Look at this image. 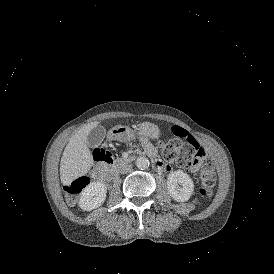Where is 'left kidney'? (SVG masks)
Returning <instances> with one entry per match:
<instances>
[{"label": "left kidney", "instance_id": "obj_1", "mask_svg": "<svg viewBox=\"0 0 274 274\" xmlns=\"http://www.w3.org/2000/svg\"><path fill=\"white\" fill-rule=\"evenodd\" d=\"M167 187L168 193L176 201H187L192 195L194 185L188 174L176 171L168 175Z\"/></svg>", "mask_w": 274, "mask_h": 274}]
</instances>
